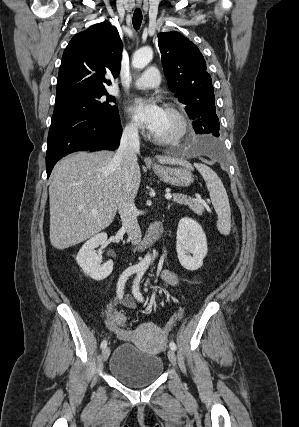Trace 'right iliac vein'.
Wrapping results in <instances>:
<instances>
[{
  "label": "right iliac vein",
  "instance_id": "right-iliac-vein-1",
  "mask_svg": "<svg viewBox=\"0 0 299 427\" xmlns=\"http://www.w3.org/2000/svg\"><path fill=\"white\" fill-rule=\"evenodd\" d=\"M110 348L109 347H105L102 351V360L106 361L110 355Z\"/></svg>",
  "mask_w": 299,
  "mask_h": 427
}]
</instances>
